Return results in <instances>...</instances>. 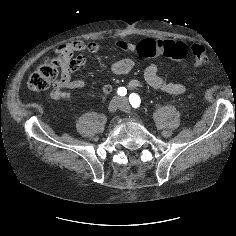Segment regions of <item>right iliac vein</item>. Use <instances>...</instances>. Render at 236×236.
I'll return each mask as SVG.
<instances>
[{
  "label": "right iliac vein",
  "instance_id": "1",
  "mask_svg": "<svg viewBox=\"0 0 236 236\" xmlns=\"http://www.w3.org/2000/svg\"><path fill=\"white\" fill-rule=\"evenodd\" d=\"M121 107V101L117 98H114L108 105V111L114 113Z\"/></svg>",
  "mask_w": 236,
  "mask_h": 236
}]
</instances>
